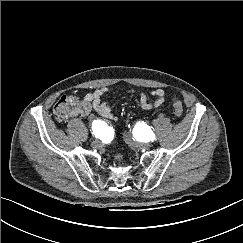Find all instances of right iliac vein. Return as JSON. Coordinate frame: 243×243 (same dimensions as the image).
Instances as JSON below:
<instances>
[{
  "mask_svg": "<svg viewBox=\"0 0 243 243\" xmlns=\"http://www.w3.org/2000/svg\"><path fill=\"white\" fill-rule=\"evenodd\" d=\"M99 145H100L99 140H95V141L92 142V146L95 147V148L98 147Z\"/></svg>",
  "mask_w": 243,
  "mask_h": 243,
  "instance_id": "right-iliac-vein-1",
  "label": "right iliac vein"
}]
</instances>
